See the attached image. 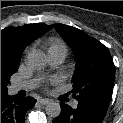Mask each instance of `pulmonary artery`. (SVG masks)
Returning a JSON list of instances; mask_svg holds the SVG:
<instances>
[{"label":"pulmonary artery","instance_id":"obj_1","mask_svg":"<svg viewBox=\"0 0 123 123\" xmlns=\"http://www.w3.org/2000/svg\"><path fill=\"white\" fill-rule=\"evenodd\" d=\"M66 56H67V51L64 49H56V50L50 51L49 52L50 65L52 66L60 65L61 63L64 62ZM39 84H40V80L36 78L27 79V80H19V81L14 82L11 85V91L18 92L20 90H31V89L36 88ZM77 105H78V102L76 100H74L71 103V106L73 108H76Z\"/></svg>","mask_w":123,"mask_h":123}]
</instances>
